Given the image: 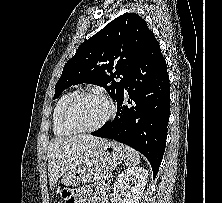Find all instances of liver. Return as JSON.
<instances>
[{"mask_svg":"<svg viewBox=\"0 0 222 203\" xmlns=\"http://www.w3.org/2000/svg\"><path fill=\"white\" fill-rule=\"evenodd\" d=\"M105 142L91 135L57 137L48 146V176L53 187L69 169L87 160Z\"/></svg>","mask_w":222,"mask_h":203,"instance_id":"liver-1","label":"liver"}]
</instances>
